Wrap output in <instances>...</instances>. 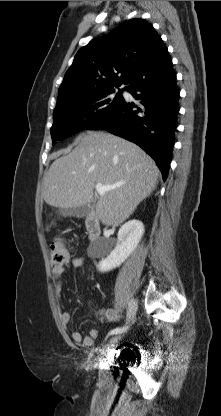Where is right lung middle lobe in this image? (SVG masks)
<instances>
[{
    "mask_svg": "<svg viewBox=\"0 0 221 416\" xmlns=\"http://www.w3.org/2000/svg\"><path fill=\"white\" fill-rule=\"evenodd\" d=\"M98 92L71 102L57 105L51 127L53 145L80 130L95 129L98 123L112 118L125 101L122 89Z\"/></svg>",
    "mask_w": 221,
    "mask_h": 416,
    "instance_id": "dd1d6c3e",
    "label": "right lung middle lobe"
}]
</instances>
